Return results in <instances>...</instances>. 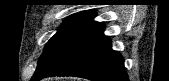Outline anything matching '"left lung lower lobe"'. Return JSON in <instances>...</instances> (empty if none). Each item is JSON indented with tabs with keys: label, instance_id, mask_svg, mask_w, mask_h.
<instances>
[{
	"label": "left lung lower lobe",
	"instance_id": "1",
	"mask_svg": "<svg viewBox=\"0 0 169 81\" xmlns=\"http://www.w3.org/2000/svg\"><path fill=\"white\" fill-rule=\"evenodd\" d=\"M104 25L93 22L68 44L52 68L31 81L52 76H75L92 81H128L124 59L112 50Z\"/></svg>",
	"mask_w": 169,
	"mask_h": 81
}]
</instances>
